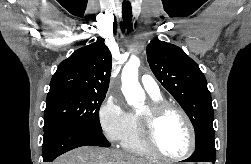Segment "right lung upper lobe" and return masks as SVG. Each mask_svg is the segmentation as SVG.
Here are the masks:
<instances>
[{
  "label": "right lung upper lobe",
  "mask_w": 251,
  "mask_h": 164,
  "mask_svg": "<svg viewBox=\"0 0 251 164\" xmlns=\"http://www.w3.org/2000/svg\"><path fill=\"white\" fill-rule=\"evenodd\" d=\"M111 67V53L98 39L60 63L51 79L49 92L71 90L106 94Z\"/></svg>",
  "instance_id": "cb5924a9"
}]
</instances>
